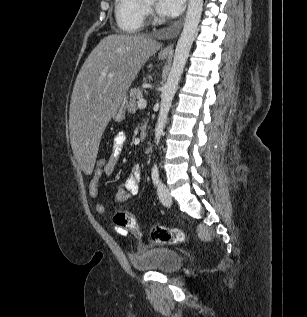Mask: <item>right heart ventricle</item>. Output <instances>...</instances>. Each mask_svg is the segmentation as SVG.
Returning <instances> with one entry per match:
<instances>
[{
	"instance_id": "e07e8e85",
	"label": "right heart ventricle",
	"mask_w": 307,
	"mask_h": 317,
	"mask_svg": "<svg viewBox=\"0 0 307 317\" xmlns=\"http://www.w3.org/2000/svg\"><path fill=\"white\" fill-rule=\"evenodd\" d=\"M145 15L143 0H115V19L123 32H139L144 26Z\"/></svg>"
}]
</instances>
